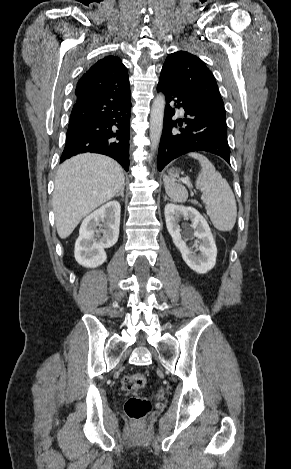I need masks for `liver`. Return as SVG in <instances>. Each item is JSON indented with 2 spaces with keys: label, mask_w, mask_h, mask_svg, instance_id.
Listing matches in <instances>:
<instances>
[{
  "label": "liver",
  "mask_w": 291,
  "mask_h": 469,
  "mask_svg": "<svg viewBox=\"0 0 291 469\" xmlns=\"http://www.w3.org/2000/svg\"><path fill=\"white\" fill-rule=\"evenodd\" d=\"M124 180L121 166L103 155L86 153L65 161L56 174L52 199L60 238H67L84 217L112 199Z\"/></svg>",
  "instance_id": "liver-1"
}]
</instances>
